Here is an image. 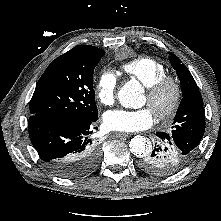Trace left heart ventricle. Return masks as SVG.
Returning a JSON list of instances; mask_svg holds the SVG:
<instances>
[{
  "mask_svg": "<svg viewBox=\"0 0 221 221\" xmlns=\"http://www.w3.org/2000/svg\"><path fill=\"white\" fill-rule=\"evenodd\" d=\"M171 97V93L170 91H165L162 96L159 98V100L156 103H151L148 95L146 94L145 96V102L152 108V110L154 111L156 108H161V107H165Z\"/></svg>",
  "mask_w": 221,
  "mask_h": 221,
  "instance_id": "1",
  "label": "left heart ventricle"
}]
</instances>
